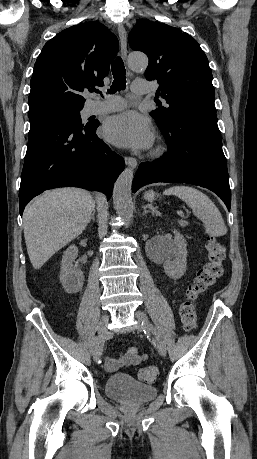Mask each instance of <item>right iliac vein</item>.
Instances as JSON below:
<instances>
[{
  "mask_svg": "<svg viewBox=\"0 0 257 459\" xmlns=\"http://www.w3.org/2000/svg\"><path fill=\"white\" fill-rule=\"evenodd\" d=\"M109 323V316L107 314L103 315L99 326H98V335L100 336V341L95 350L92 352L93 353V359L97 362L101 359L102 355V349H101V343L103 342L104 338L107 335V326Z\"/></svg>",
  "mask_w": 257,
  "mask_h": 459,
  "instance_id": "63e3f726",
  "label": "right iliac vein"
}]
</instances>
